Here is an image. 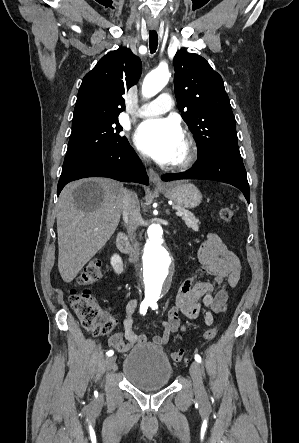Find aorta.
<instances>
[{
  "mask_svg": "<svg viewBox=\"0 0 299 443\" xmlns=\"http://www.w3.org/2000/svg\"><path fill=\"white\" fill-rule=\"evenodd\" d=\"M170 73L158 68L144 79L142 94L146 98L159 93L168 83ZM146 245L143 254V278L145 298L158 300L165 293L172 257L165 244V232L161 225L151 224L146 229Z\"/></svg>",
  "mask_w": 299,
  "mask_h": 443,
  "instance_id": "obj_1",
  "label": "aorta"
}]
</instances>
